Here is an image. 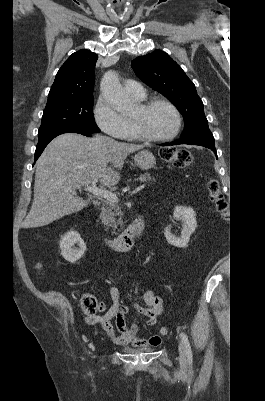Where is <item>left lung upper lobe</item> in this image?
Returning a JSON list of instances; mask_svg holds the SVG:
<instances>
[{"label":"left lung upper lobe","mask_w":265,"mask_h":401,"mask_svg":"<svg viewBox=\"0 0 265 401\" xmlns=\"http://www.w3.org/2000/svg\"><path fill=\"white\" fill-rule=\"evenodd\" d=\"M132 68L145 84L164 95L183 115L185 128L181 137L209 130L194 83L167 53L157 50L137 57Z\"/></svg>","instance_id":"5c2ea615"}]
</instances>
